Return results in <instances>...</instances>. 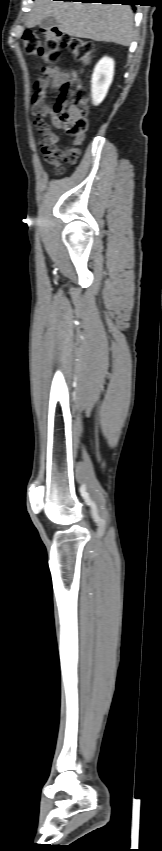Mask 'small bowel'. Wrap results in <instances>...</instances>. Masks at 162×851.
<instances>
[{
	"instance_id": "small-bowel-1",
	"label": "small bowel",
	"mask_w": 162,
	"mask_h": 851,
	"mask_svg": "<svg viewBox=\"0 0 162 851\" xmlns=\"http://www.w3.org/2000/svg\"><path fill=\"white\" fill-rule=\"evenodd\" d=\"M42 73L43 76L38 78L34 84L31 99L32 114L36 117L35 126L37 134L41 137L40 146L43 157L46 162L58 167L60 166L59 160L67 162L70 152L75 147L61 149L57 146L58 136L47 124L46 119L50 118L56 127L60 128V126L56 121L52 106L46 102V97L49 88L61 89L70 76L67 70L59 66H46L42 69Z\"/></svg>"
}]
</instances>
